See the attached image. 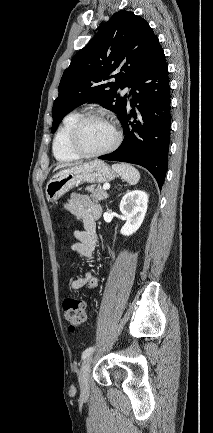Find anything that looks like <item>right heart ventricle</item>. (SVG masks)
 <instances>
[{"mask_svg": "<svg viewBox=\"0 0 213 433\" xmlns=\"http://www.w3.org/2000/svg\"><path fill=\"white\" fill-rule=\"evenodd\" d=\"M79 117L80 114L78 112L69 113L63 119L62 124L55 135L53 152L55 158L58 161L70 162L80 158L76 153L72 151L69 145V134L71 128Z\"/></svg>", "mask_w": 213, "mask_h": 433, "instance_id": "1", "label": "right heart ventricle"}]
</instances>
